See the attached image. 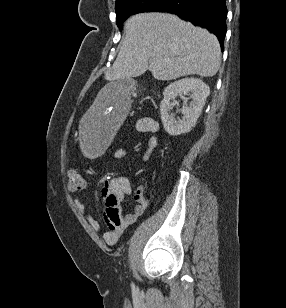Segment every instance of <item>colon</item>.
Here are the masks:
<instances>
[{
	"instance_id": "colon-1",
	"label": "colon",
	"mask_w": 286,
	"mask_h": 308,
	"mask_svg": "<svg viewBox=\"0 0 286 308\" xmlns=\"http://www.w3.org/2000/svg\"><path fill=\"white\" fill-rule=\"evenodd\" d=\"M67 177L70 190L78 191L86 188V180L78 171L72 169L68 170Z\"/></svg>"
}]
</instances>
